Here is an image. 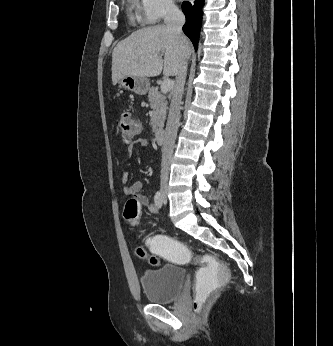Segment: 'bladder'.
<instances>
[{"instance_id":"1","label":"bladder","mask_w":333,"mask_h":346,"mask_svg":"<svg viewBox=\"0 0 333 346\" xmlns=\"http://www.w3.org/2000/svg\"><path fill=\"white\" fill-rule=\"evenodd\" d=\"M184 279L185 272L180 266L166 264L158 269L145 270L140 283L150 303L164 304L179 295Z\"/></svg>"}]
</instances>
